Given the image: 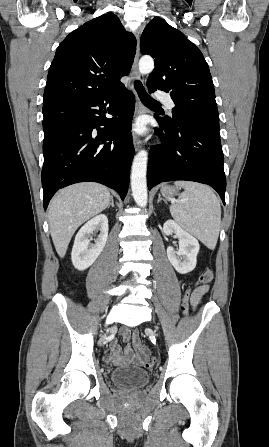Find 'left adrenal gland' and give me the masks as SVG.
I'll return each mask as SVG.
<instances>
[{
	"label": "left adrenal gland",
	"instance_id": "obj_1",
	"mask_svg": "<svg viewBox=\"0 0 269 447\" xmlns=\"http://www.w3.org/2000/svg\"><path fill=\"white\" fill-rule=\"evenodd\" d=\"M161 200H163V198H161V194H158L157 204H159V202H161ZM163 202H166V200H163Z\"/></svg>",
	"mask_w": 269,
	"mask_h": 447
}]
</instances>
